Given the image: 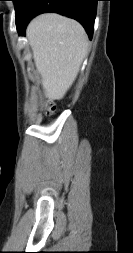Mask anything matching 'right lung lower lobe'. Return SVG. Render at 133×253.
I'll return each instance as SVG.
<instances>
[{"instance_id": "98d812e1", "label": "right lung lower lobe", "mask_w": 133, "mask_h": 253, "mask_svg": "<svg viewBox=\"0 0 133 253\" xmlns=\"http://www.w3.org/2000/svg\"><path fill=\"white\" fill-rule=\"evenodd\" d=\"M97 1L99 0H26L20 16L16 20L18 32L20 35L24 34L27 24L35 16L41 13L54 12L80 22L91 39Z\"/></svg>"}]
</instances>
